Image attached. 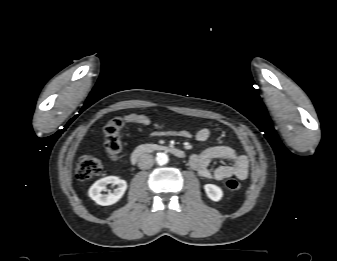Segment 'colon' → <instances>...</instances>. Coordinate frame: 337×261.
I'll use <instances>...</instances> for the list:
<instances>
[{"label":"colon","mask_w":337,"mask_h":261,"mask_svg":"<svg viewBox=\"0 0 337 261\" xmlns=\"http://www.w3.org/2000/svg\"><path fill=\"white\" fill-rule=\"evenodd\" d=\"M125 124L123 117H115L109 120L104 128L105 150L107 155L112 160H117L122 151V142L120 131ZM159 127V124H155ZM102 170L101 160L93 155H82L79 157L76 164V176L79 180H88L98 175ZM226 187L229 190H239L241 184L238 180L231 178L226 181Z\"/></svg>","instance_id":"5ec220e1"}]
</instances>
